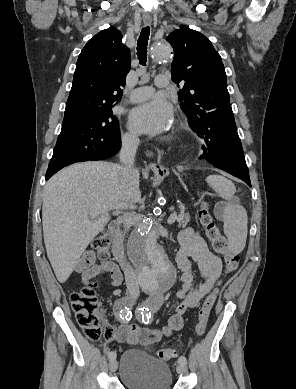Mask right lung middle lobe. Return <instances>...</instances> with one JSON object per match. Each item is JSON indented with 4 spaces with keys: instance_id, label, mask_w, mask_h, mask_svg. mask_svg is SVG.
<instances>
[{
    "instance_id": "1",
    "label": "right lung middle lobe",
    "mask_w": 296,
    "mask_h": 389,
    "mask_svg": "<svg viewBox=\"0 0 296 389\" xmlns=\"http://www.w3.org/2000/svg\"><path fill=\"white\" fill-rule=\"evenodd\" d=\"M121 145L118 119L111 107L64 118L50 168L76 162L104 159V154Z\"/></svg>"
}]
</instances>
